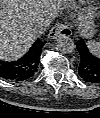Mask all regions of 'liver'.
I'll return each mask as SVG.
<instances>
[{
    "mask_svg": "<svg viewBox=\"0 0 100 118\" xmlns=\"http://www.w3.org/2000/svg\"><path fill=\"white\" fill-rule=\"evenodd\" d=\"M67 1V0H65ZM62 0H0V58L22 57L38 37L34 25L57 15Z\"/></svg>",
    "mask_w": 100,
    "mask_h": 118,
    "instance_id": "obj_1",
    "label": "liver"
}]
</instances>
